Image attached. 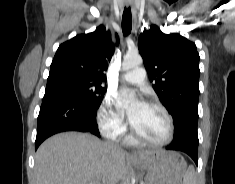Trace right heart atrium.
<instances>
[{"instance_id":"obj_1","label":"right heart atrium","mask_w":235,"mask_h":184,"mask_svg":"<svg viewBox=\"0 0 235 184\" xmlns=\"http://www.w3.org/2000/svg\"><path fill=\"white\" fill-rule=\"evenodd\" d=\"M96 120L103 135L109 138H119L126 130L125 118L113 108V100L106 97L97 110Z\"/></svg>"}]
</instances>
